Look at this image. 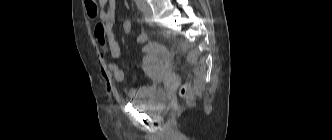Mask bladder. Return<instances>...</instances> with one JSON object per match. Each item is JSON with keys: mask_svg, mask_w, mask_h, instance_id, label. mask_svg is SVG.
<instances>
[{"mask_svg": "<svg viewBox=\"0 0 332 140\" xmlns=\"http://www.w3.org/2000/svg\"><path fill=\"white\" fill-rule=\"evenodd\" d=\"M146 87L147 92L131 100V103L141 109H152L160 105L164 100V93L160 90L157 83H151Z\"/></svg>", "mask_w": 332, "mask_h": 140, "instance_id": "1", "label": "bladder"}]
</instances>
